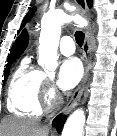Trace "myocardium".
<instances>
[{
    "instance_id": "1",
    "label": "myocardium",
    "mask_w": 117,
    "mask_h": 136,
    "mask_svg": "<svg viewBox=\"0 0 117 136\" xmlns=\"http://www.w3.org/2000/svg\"><path fill=\"white\" fill-rule=\"evenodd\" d=\"M54 102L55 96L51 92L46 93L42 98V104L48 109L52 107Z\"/></svg>"
}]
</instances>
